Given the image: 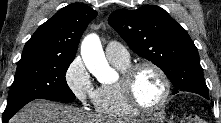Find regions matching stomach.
Masks as SVG:
<instances>
[{
	"label": "stomach",
	"mask_w": 221,
	"mask_h": 123,
	"mask_svg": "<svg viewBox=\"0 0 221 123\" xmlns=\"http://www.w3.org/2000/svg\"><path fill=\"white\" fill-rule=\"evenodd\" d=\"M166 120H164V117L160 113H156L153 116L143 120L141 123H164ZM167 123H173V122H167Z\"/></svg>",
	"instance_id": "stomach-1"
}]
</instances>
